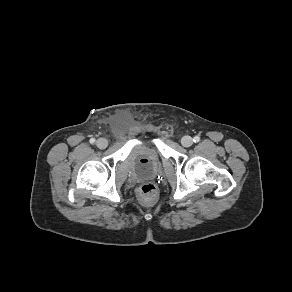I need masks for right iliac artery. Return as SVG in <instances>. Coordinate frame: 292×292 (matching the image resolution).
I'll list each match as a JSON object with an SVG mask.
<instances>
[{"mask_svg":"<svg viewBox=\"0 0 292 292\" xmlns=\"http://www.w3.org/2000/svg\"><path fill=\"white\" fill-rule=\"evenodd\" d=\"M90 143H91V144H94V143H95V139H94V138H91V139H90Z\"/></svg>","mask_w":292,"mask_h":292,"instance_id":"1","label":"right iliac artery"}]
</instances>
